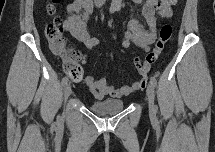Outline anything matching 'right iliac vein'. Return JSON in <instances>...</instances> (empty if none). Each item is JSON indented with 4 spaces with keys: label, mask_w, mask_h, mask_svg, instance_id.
Listing matches in <instances>:
<instances>
[{
    "label": "right iliac vein",
    "mask_w": 215,
    "mask_h": 152,
    "mask_svg": "<svg viewBox=\"0 0 215 152\" xmlns=\"http://www.w3.org/2000/svg\"><path fill=\"white\" fill-rule=\"evenodd\" d=\"M71 93H72V90H71L70 84H66L65 90H64V98H65V100L68 99V97L71 95Z\"/></svg>",
    "instance_id": "1"
}]
</instances>
